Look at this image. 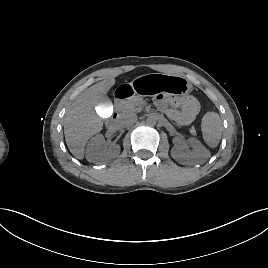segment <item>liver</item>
Instances as JSON below:
<instances>
[{
    "mask_svg": "<svg viewBox=\"0 0 268 268\" xmlns=\"http://www.w3.org/2000/svg\"><path fill=\"white\" fill-rule=\"evenodd\" d=\"M115 84L114 77L100 81L81 92L68 110L64 122L66 144L77 159L84 158L87 141L103 127L102 118L95 108L101 104L109 89Z\"/></svg>",
    "mask_w": 268,
    "mask_h": 268,
    "instance_id": "6515ba94",
    "label": "liver"
}]
</instances>
